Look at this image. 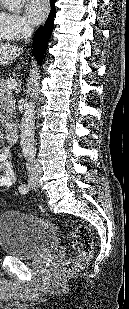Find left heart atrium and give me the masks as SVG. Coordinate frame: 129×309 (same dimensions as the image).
Instances as JSON below:
<instances>
[{"instance_id": "39dd6f15", "label": "left heart atrium", "mask_w": 129, "mask_h": 309, "mask_svg": "<svg viewBox=\"0 0 129 309\" xmlns=\"http://www.w3.org/2000/svg\"><path fill=\"white\" fill-rule=\"evenodd\" d=\"M48 13L47 0H26L25 14L28 20L37 25L43 21Z\"/></svg>"}]
</instances>
